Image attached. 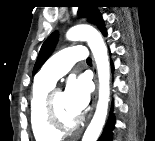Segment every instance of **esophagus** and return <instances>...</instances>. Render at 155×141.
Masks as SVG:
<instances>
[{"label":"esophagus","mask_w":155,"mask_h":141,"mask_svg":"<svg viewBox=\"0 0 155 141\" xmlns=\"http://www.w3.org/2000/svg\"><path fill=\"white\" fill-rule=\"evenodd\" d=\"M93 71H94L95 91H94V94H93L92 109H94L95 106H96L97 92H98L97 70H96V65L95 64L93 65Z\"/></svg>","instance_id":"34e87169"}]
</instances>
